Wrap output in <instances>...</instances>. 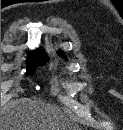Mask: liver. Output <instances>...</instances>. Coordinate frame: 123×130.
<instances>
[{
	"label": "liver",
	"mask_w": 123,
	"mask_h": 130,
	"mask_svg": "<svg viewBox=\"0 0 123 130\" xmlns=\"http://www.w3.org/2000/svg\"><path fill=\"white\" fill-rule=\"evenodd\" d=\"M72 128L56 105L21 98L9 104L1 117V130H67Z\"/></svg>",
	"instance_id": "6515ba94"
}]
</instances>
